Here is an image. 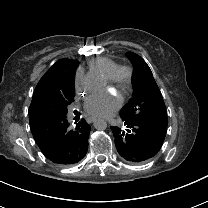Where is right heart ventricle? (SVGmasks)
<instances>
[{
	"label": "right heart ventricle",
	"mask_w": 208,
	"mask_h": 208,
	"mask_svg": "<svg viewBox=\"0 0 208 208\" xmlns=\"http://www.w3.org/2000/svg\"><path fill=\"white\" fill-rule=\"evenodd\" d=\"M89 66L99 70L106 78L110 77L119 67V65L110 58L98 57L89 62Z\"/></svg>",
	"instance_id": "1"
}]
</instances>
